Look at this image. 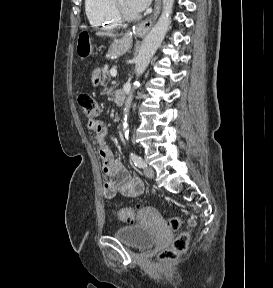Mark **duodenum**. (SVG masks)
<instances>
[{"label":"duodenum","instance_id":"duodenum-1","mask_svg":"<svg viewBox=\"0 0 273 288\" xmlns=\"http://www.w3.org/2000/svg\"><path fill=\"white\" fill-rule=\"evenodd\" d=\"M126 100V94L124 91L118 90L115 93V101L118 105H123Z\"/></svg>","mask_w":273,"mask_h":288}]
</instances>
